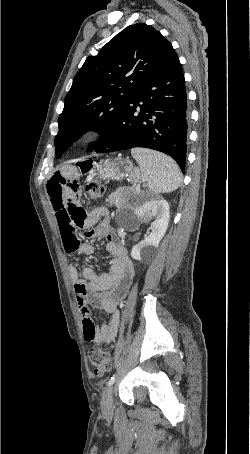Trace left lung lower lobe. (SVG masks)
Masks as SVG:
<instances>
[{
	"mask_svg": "<svg viewBox=\"0 0 250 454\" xmlns=\"http://www.w3.org/2000/svg\"><path fill=\"white\" fill-rule=\"evenodd\" d=\"M187 95L182 66L174 51L137 90L96 153L144 147L171 156L185 170Z\"/></svg>",
	"mask_w": 250,
	"mask_h": 454,
	"instance_id": "0a47b994",
	"label": "left lung lower lobe"
}]
</instances>
